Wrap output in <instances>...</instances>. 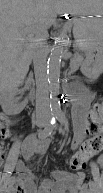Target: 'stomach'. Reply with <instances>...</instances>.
<instances>
[{
	"instance_id": "0dacf381",
	"label": "stomach",
	"mask_w": 103,
	"mask_h": 193,
	"mask_svg": "<svg viewBox=\"0 0 103 193\" xmlns=\"http://www.w3.org/2000/svg\"><path fill=\"white\" fill-rule=\"evenodd\" d=\"M103 0H79L72 5V14L81 19V23L76 27V33L79 37V47L87 52L90 58L93 52V41L89 34L92 31L94 22L102 17ZM100 17V18H99Z\"/></svg>"
}]
</instances>
